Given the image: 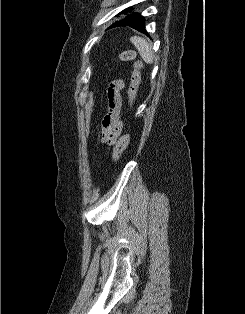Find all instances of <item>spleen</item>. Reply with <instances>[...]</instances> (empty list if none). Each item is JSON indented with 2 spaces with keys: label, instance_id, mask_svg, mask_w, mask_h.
I'll return each mask as SVG.
<instances>
[{
  "label": "spleen",
  "instance_id": "obj_1",
  "mask_svg": "<svg viewBox=\"0 0 245 314\" xmlns=\"http://www.w3.org/2000/svg\"><path fill=\"white\" fill-rule=\"evenodd\" d=\"M130 41L138 50L142 59L148 63L152 64L154 60V55L151 49V44L144 38L133 36L130 38Z\"/></svg>",
  "mask_w": 245,
  "mask_h": 314
}]
</instances>
